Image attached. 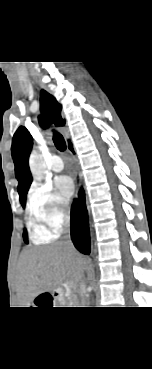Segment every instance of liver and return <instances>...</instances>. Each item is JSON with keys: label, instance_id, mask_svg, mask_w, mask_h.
Listing matches in <instances>:
<instances>
[{"label": "liver", "instance_id": "liver-1", "mask_svg": "<svg viewBox=\"0 0 152 369\" xmlns=\"http://www.w3.org/2000/svg\"><path fill=\"white\" fill-rule=\"evenodd\" d=\"M85 259L62 243L25 250L19 260L17 289L27 305L39 294L59 288L64 281L77 286Z\"/></svg>", "mask_w": 152, "mask_h": 369}]
</instances>
